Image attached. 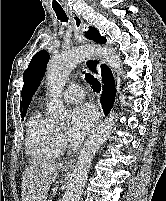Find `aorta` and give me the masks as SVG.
I'll return each mask as SVG.
<instances>
[{
  "label": "aorta",
  "instance_id": "762f6f07",
  "mask_svg": "<svg viewBox=\"0 0 166 201\" xmlns=\"http://www.w3.org/2000/svg\"><path fill=\"white\" fill-rule=\"evenodd\" d=\"M93 55L101 56L109 67L119 75L122 74V64L119 56L108 47L86 46L72 48L63 51L58 56H54L48 63L46 74L50 96L48 112L53 121L64 123L68 120V111L61 100L63 88L73 68L84 58ZM116 121V114H110L87 139L72 173L64 201H80L92 159L103 143L111 136Z\"/></svg>",
  "mask_w": 166,
  "mask_h": 201
}]
</instances>
